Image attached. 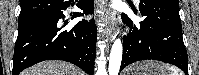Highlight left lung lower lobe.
<instances>
[{"label":"left lung lower lobe","mask_w":199,"mask_h":75,"mask_svg":"<svg viewBox=\"0 0 199 75\" xmlns=\"http://www.w3.org/2000/svg\"><path fill=\"white\" fill-rule=\"evenodd\" d=\"M139 9L145 17L139 27L122 14L130 33L124 37L120 71L136 61L159 60L176 65L188 75L178 0H140Z\"/></svg>","instance_id":"0a47b994"}]
</instances>
